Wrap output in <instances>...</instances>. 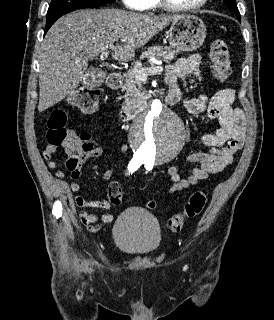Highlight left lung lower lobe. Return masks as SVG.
<instances>
[{
	"mask_svg": "<svg viewBox=\"0 0 274 320\" xmlns=\"http://www.w3.org/2000/svg\"><path fill=\"white\" fill-rule=\"evenodd\" d=\"M237 19L240 21V15H237Z\"/></svg>",
	"mask_w": 274,
	"mask_h": 320,
	"instance_id": "0a47b994",
	"label": "left lung lower lobe"
}]
</instances>
